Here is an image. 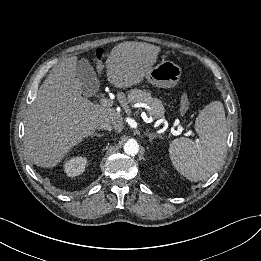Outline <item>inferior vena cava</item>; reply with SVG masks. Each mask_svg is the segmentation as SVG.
Here are the masks:
<instances>
[{
	"label": "inferior vena cava",
	"mask_w": 261,
	"mask_h": 261,
	"mask_svg": "<svg viewBox=\"0 0 261 261\" xmlns=\"http://www.w3.org/2000/svg\"><path fill=\"white\" fill-rule=\"evenodd\" d=\"M98 128L111 131L113 129V126L109 122H103L99 125Z\"/></svg>",
	"instance_id": "obj_1"
}]
</instances>
